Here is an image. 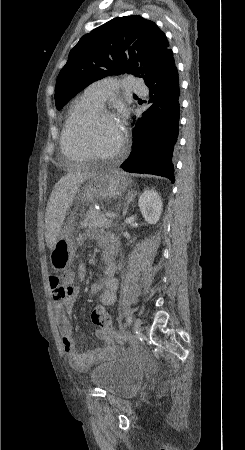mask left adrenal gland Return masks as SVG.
<instances>
[{
	"label": "left adrenal gland",
	"instance_id": "left-adrenal-gland-1",
	"mask_svg": "<svg viewBox=\"0 0 245 450\" xmlns=\"http://www.w3.org/2000/svg\"><path fill=\"white\" fill-rule=\"evenodd\" d=\"M138 192L135 190H131L127 193L125 197V208L123 210V215L126 216L127 210L129 207V204L134 200V198L137 196Z\"/></svg>",
	"mask_w": 245,
	"mask_h": 450
}]
</instances>
